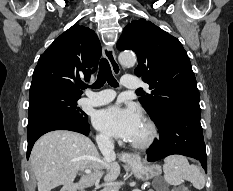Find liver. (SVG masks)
I'll return each instance as SVG.
<instances>
[{
  "label": "liver",
  "mask_w": 233,
  "mask_h": 191,
  "mask_svg": "<svg viewBox=\"0 0 233 191\" xmlns=\"http://www.w3.org/2000/svg\"><path fill=\"white\" fill-rule=\"evenodd\" d=\"M30 161L38 191H51L60 185L63 186L60 191H83L103 176L106 181H114L120 174L119 164L101 159L88 137L68 130H54L40 137ZM87 169L92 173L82 175L74 183L78 172Z\"/></svg>",
  "instance_id": "6515ba94"
}]
</instances>
